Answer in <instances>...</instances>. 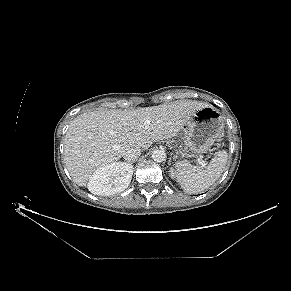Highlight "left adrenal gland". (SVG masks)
Returning a JSON list of instances; mask_svg holds the SVG:
<instances>
[{
	"label": "left adrenal gland",
	"instance_id": "obj_1",
	"mask_svg": "<svg viewBox=\"0 0 291 291\" xmlns=\"http://www.w3.org/2000/svg\"><path fill=\"white\" fill-rule=\"evenodd\" d=\"M168 164H171V158L169 159Z\"/></svg>",
	"mask_w": 291,
	"mask_h": 291
}]
</instances>
